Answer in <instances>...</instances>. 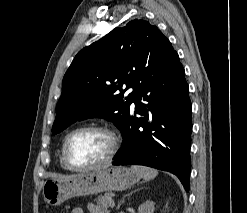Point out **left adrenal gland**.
Returning <instances> with one entry per match:
<instances>
[{
  "label": "left adrenal gland",
  "instance_id": "left-adrenal-gland-1",
  "mask_svg": "<svg viewBox=\"0 0 247 213\" xmlns=\"http://www.w3.org/2000/svg\"><path fill=\"white\" fill-rule=\"evenodd\" d=\"M138 190H139V189H137V190L131 192V193L128 194L127 196H130L131 194H133L134 192H136V191H138ZM124 200H125V197H124V198L121 200V202L118 204V208H120V206H121V204H123Z\"/></svg>",
  "mask_w": 247,
  "mask_h": 213
}]
</instances>
